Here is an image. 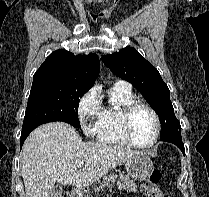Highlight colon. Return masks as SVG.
Instances as JSON below:
<instances>
[{
  "mask_svg": "<svg viewBox=\"0 0 209 197\" xmlns=\"http://www.w3.org/2000/svg\"><path fill=\"white\" fill-rule=\"evenodd\" d=\"M161 172L159 170H154L151 173L150 178L144 182L141 186V191L144 197H168L163 194L159 189V182L161 180ZM59 197H70V194L63 192Z\"/></svg>",
  "mask_w": 209,
  "mask_h": 197,
  "instance_id": "5ec220e1",
  "label": "colon"
}]
</instances>
